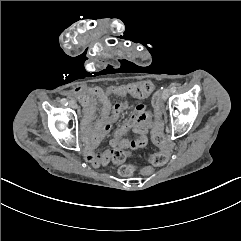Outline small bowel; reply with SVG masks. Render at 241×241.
Masks as SVG:
<instances>
[{
  "label": "small bowel",
  "mask_w": 241,
  "mask_h": 241,
  "mask_svg": "<svg viewBox=\"0 0 241 241\" xmlns=\"http://www.w3.org/2000/svg\"><path fill=\"white\" fill-rule=\"evenodd\" d=\"M130 85L109 86L106 89L101 87L80 85L72 91V95L77 97L85 108V128L82 135L89 141V146H96L99 141L109 133L112 123H114L128 107L126 101H118L114 104L110 101V96L125 97L131 95ZM134 97V96H133ZM137 102L134 106L132 117L126 120L118 129L115 130L112 139L109 142L110 150L102 153H86L88 162L98 167L105 166L111 159V151L114 149H123L124 151L144 148L149 141V133L154 125L152 114L146 109L141 97H135ZM101 104V120L93 125L95 101ZM134 132L136 137L128 139L125 136Z\"/></svg>",
  "instance_id": "small-bowel-1"
}]
</instances>
